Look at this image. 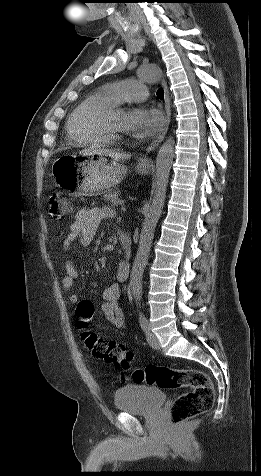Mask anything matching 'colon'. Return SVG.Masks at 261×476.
<instances>
[{"label":"colon","instance_id":"5ec220e1","mask_svg":"<svg viewBox=\"0 0 261 476\" xmlns=\"http://www.w3.org/2000/svg\"><path fill=\"white\" fill-rule=\"evenodd\" d=\"M48 204L49 215L54 219H62L72 212L71 203L59 190L49 195ZM93 313L94 307L89 301H81L75 311L76 326L83 344L105 363L114 365L121 372L129 371L134 361L133 352L90 331ZM132 379L136 383H146L163 389L190 388V391L179 395L171 405L170 420L173 425L182 424L208 411L214 403L213 385L208 375L201 370L148 365L134 370Z\"/></svg>","mask_w":261,"mask_h":476}]
</instances>
